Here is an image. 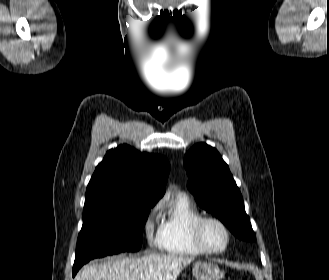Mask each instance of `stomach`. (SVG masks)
Here are the masks:
<instances>
[{
  "label": "stomach",
  "mask_w": 329,
  "mask_h": 280,
  "mask_svg": "<svg viewBox=\"0 0 329 280\" xmlns=\"http://www.w3.org/2000/svg\"><path fill=\"white\" fill-rule=\"evenodd\" d=\"M192 273L196 280H221L223 278V273L218 265L209 262L194 263Z\"/></svg>",
  "instance_id": "1"
}]
</instances>
